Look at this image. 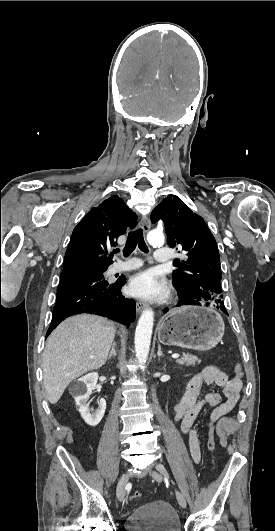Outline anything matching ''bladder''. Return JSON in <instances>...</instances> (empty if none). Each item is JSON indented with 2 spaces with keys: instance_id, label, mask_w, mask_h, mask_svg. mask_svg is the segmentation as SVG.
<instances>
[{
  "instance_id": "31cf9c89",
  "label": "bladder",
  "mask_w": 275,
  "mask_h": 531,
  "mask_svg": "<svg viewBox=\"0 0 275 531\" xmlns=\"http://www.w3.org/2000/svg\"><path fill=\"white\" fill-rule=\"evenodd\" d=\"M133 531H181V523L174 508L166 501H154L135 507L127 520Z\"/></svg>"
}]
</instances>
